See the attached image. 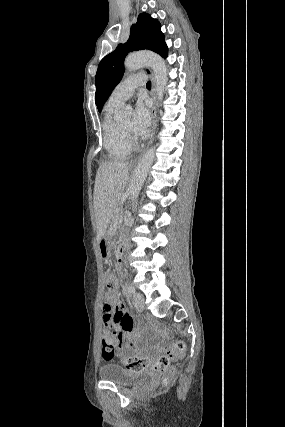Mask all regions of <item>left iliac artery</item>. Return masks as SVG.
<instances>
[{
  "instance_id": "left-iliac-artery-1",
  "label": "left iliac artery",
  "mask_w": 285,
  "mask_h": 427,
  "mask_svg": "<svg viewBox=\"0 0 285 427\" xmlns=\"http://www.w3.org/2000/svg\"><path fill=\"white\" fill-rule=\"evenodd\" d=\"M127 290H128V292H129L130 294H133V293L135 292V289H134V287H132V286H128V287H127Z\"/></svg>"
}]
</instances>
